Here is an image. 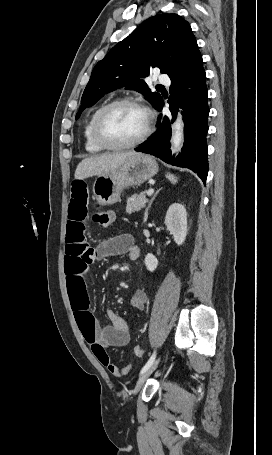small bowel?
<instances>
[{
  "label": "small bowel",
  "instance_id": "obj_1",
  "mask_svg": "<svg viewBox=\"0 0 272 455\" xmlns=\"http://www.w3.org/2000/svg\"><path fill=\"white\" fill-rule=\"evenodd\" d=\"M89 191L85 180L72 182L68 207L65 240V273L68 293L77 325L98 361L115 377L125 376L131 365L119 367L112 363L108 348L122 347L130 340L127 321L111 309L106 310L109 324L102 327L90 309L86 277L92 263L100 259L127 254L131 260L140 256V249L130 234H120L104 240L96 247L86 241ZM147 301L144 290L138 289L130 297L131 305L143 310Z\"/></svg>",
  "mask_w": 272,
  "mask_h": 455
}]
</instances>
